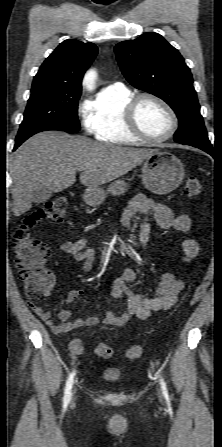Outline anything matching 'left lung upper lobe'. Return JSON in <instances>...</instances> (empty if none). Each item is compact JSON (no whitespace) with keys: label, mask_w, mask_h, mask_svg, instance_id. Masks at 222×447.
I'll return each instance as SVG.
<instances>
[{"label":"left lung upper lobe","mask_w":222,"mask_h":447,"mask_svg":"<svg viewBox=\"0 0 222 447\" xmlns=\"http://www.w3.org/2000/svg\"><path fill=\"white\" fill-rule=\"evenodd\" d=\"M115 53L130 84L163 99L175 111L180 122L176 142L211 146L190 69L177 49L160 34L148 32L118 43Z\"/></svg>","instance_id":"left-lung-upper-lobe-1"}]
</instances>
